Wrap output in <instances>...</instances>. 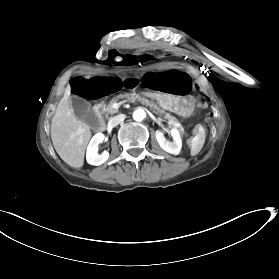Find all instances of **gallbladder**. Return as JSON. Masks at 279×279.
I'll return each instance as SVG.
<instances>
[{
    "mask_svg": "<svg viewBox=\"0 0 279 279\" xmlns=\"http://www.w3.org/2000/svg\"><path fill=\"white\" fill-rule=\"evenodd\" d=\"M70 101L74 110V114L78 119L86 123L89 122L90 127L93 129H98L101 127V118L95 116V113L89 108V103L87 101L77 96H72Z\"/></svg>",
    "mask_w": 279,
    "mask_h": 279,
    "instance_id": "obj_1",
    "label": "gallbladder"
}]
</instances>
